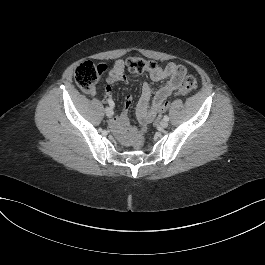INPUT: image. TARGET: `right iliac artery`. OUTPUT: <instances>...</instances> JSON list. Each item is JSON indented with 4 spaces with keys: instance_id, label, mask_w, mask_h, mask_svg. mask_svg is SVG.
<instances>
[{
    "instance_id": "right-iliac-artery-1",
    "label": "right iliac artery",
    "mask_w": 265,
    "mask_h": 265,
    "mask_svg": "<svg viewBox=\"0 0 265 265\" xmlns=\"http://www.w3.org/2000/svg\"><path fill=\"white\" fill-rule=\"evenodd\" d=\"M110 107H113V104H110Z\"/></svg>"
}]
</instances>
